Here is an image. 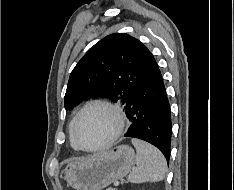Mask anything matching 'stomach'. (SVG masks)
Listing matches in <instances>:
<instances>
[{
  "label": "stomach",
  "mask_w": 234,
  "mask_h": 190,
  "mask_svg": "<svg viewBox=\"0 0 234 190\" xmlns=\"http://www.w3.org/2000/svg\"><path fill=\"white\" fill-rule=\"evenodd\" d=\"M135 161L128 145H119L92 157L76 159L64 169L65 179L75 190H102L125 177Z\"/></svg>",
  "instance_id": "obj_1"
}]
</instances>
